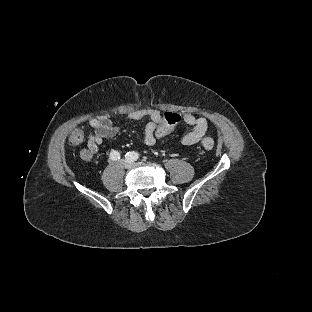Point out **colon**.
Returning a JSON list of instances; mask_svg holds the SVG:
<instances>
[{
  "mask_svg": "<svg viewBox=\"0 0 312 312\" xmlns=\"http://www.w3.org/2000/svg\"><path fill=\"white\" fill-rule=\"evenodd\" d=\"M163 116H164L163 123H161L160 126L156 128L154 132V135L157 138L172 133L178 122L182 121L183 119L182 114L180 113L176 114L169 110L164 111ZM82 136H83L82 131L76 130L74 131L73 135H71L70 140L73 143H79L81 141ZM202 147L207 151L212 150L214 147L213 139L210 137H205L202 141Z\"/></svg>",
  "mask_w": 312,
  "mask_h": 312,
  "instance_id": "1",
  "label": "colon"
}]
</instances>
